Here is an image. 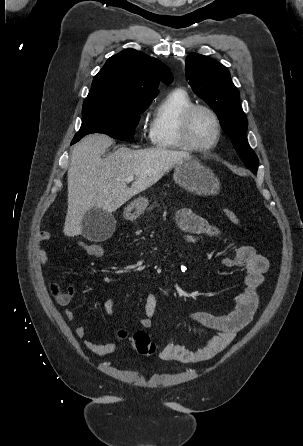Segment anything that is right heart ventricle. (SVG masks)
Segmentation results:
<instances>
[{"label":"right heart ventricle","instance_id":"obj_1","mask_svg":"<svg viewBox=\"0 0 303 446\" xmlns=\"http://www.w3.org/2000/svg\"><path fill=\"white\" fill-rule=\"evenodd\" d=\"M194 104L188 92L182 88L171 90L155 108L149 127L151 144L159 149H186L179 138L182 113Z\"/></svg>","mask_w":303,"mask_h":446}]
</instances>
